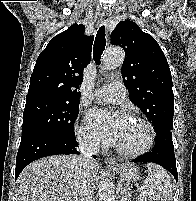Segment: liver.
<instances>
[{"instance_id": "liver-1", "label": "liver", "mask_w": 196, "mask_h": 201, "mask_svg": "<svg viewBox=\"0 0 196 201\" xmlns=\"http://www.w3.org/2000/svg\"><path fill=\"white\" fill-rule=\"evenodd\" d=\"M75 156L53 155L29 164L17 179V201H76ZM96 166L90 163L87 185L93 193Z\"/></svg>"}]
</instances>
